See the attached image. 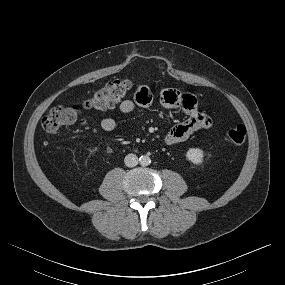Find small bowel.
<instances>
[{
	"mask_svg": "<svg viewBox=\"0 0 285 285\" xmlns=\"http://www.w3.org/2000/svg\"><path fill=\"white\" fill-rule=\"evenodd\" d=\"M153 102L151 89L146 85H140L135 91L133 99L123 100L119 109L122 113H132L137 107L148 108ZM160 103L165 108H181L187 115V119L174 125L165 137L167 144H177L187 140L194 132L207 129L212 126V118L198 111L197 101L194 95L188 92H180L174 89H164L160 93ZM117 127L113 118H104L101 128L110 132Z\"/></svg>",
	"mask_w": 285,
	"mask_h": 285,
	"instance_id": "1",
	"label": "small bowel"
}]
</instances>
